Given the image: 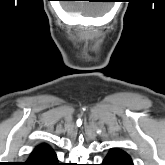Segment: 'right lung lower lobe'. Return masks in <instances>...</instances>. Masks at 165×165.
Returning a JSON list of instances; mask_svg holds the SVG:
<instances>
[{
    "label": "right lung lower lobe",
    "instance_id": "obj_1",
    "mask_svg": "<svg viewBox=\"0 0 165 165\" xmlns=\"http://www.w3.org/2000/svg\"><path fill=\"white\" fill-rule=\"evenodd\" d=\"M54 151L45 144L39 145L31 153L25 165H60Z\"/></svg>",
    "mask_w": 165,
    "mask_h": 165
}]
</instances>
